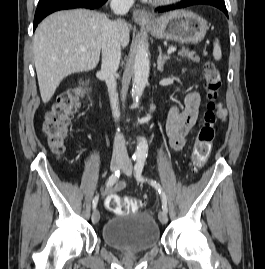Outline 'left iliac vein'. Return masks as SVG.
Returning <instances> with one entry per match:
<instances>
[{"label": "left iliac vein", "mask_w": 265, "mask_h": 269, "mask_svg": "<svg viewBox=\"0 0 265 269\" xmlns=\"http://www.w3.org/2000/svg\"><path fill=\"white\" fill-rule=\"evenodd\" d=\"M132 169H133V166H132V163L126 159L123 161V166H122V171L127 175V176H131L132 174ZM159 220L162 224H166L168 222V216L166 214V212L164 211H161L159 213Z\"/></svg>", "instance_id": "obj_1"}]
</instances>
